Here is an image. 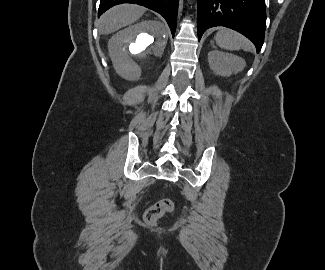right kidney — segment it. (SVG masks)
<instances>
[{"mask_svg": "<svg viewBox=\"0 0 325 270\" xmlns=\"http://www.w3.org/2000/svg\"><path fill=\"white\" fill-rule=\"evenodd\" d=\"M166 43L164 25L149 20L113 35L108 50L116 72L126 80L135 81L140 79L142 72L151 68L155 58L163 54Z\"/></svg>", "mask_w": 325, "mask_h": 270, "instance_id": "ca27d5eb", "label": "right kidney"}]
</instances>
